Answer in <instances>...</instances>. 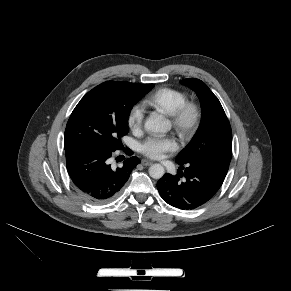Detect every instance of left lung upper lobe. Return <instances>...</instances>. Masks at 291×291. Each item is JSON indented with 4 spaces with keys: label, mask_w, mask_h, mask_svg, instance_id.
<instances>
[{
    "label": "left lung upper lobe",
    "mask_w": 291,
    "mask_h": 291,
    "mask_svg": "<svg viewBox=\"0 0 291 291\" xmlns=\"http://www.w3.org/2000/svg\"><path fill=\"white\" fill-rule=\"evenodd\" d=\"M182 82L197 93L202 112L195 135L175 161L179 165L207 161L229 167L232 156V131L220 101L201 80L191 78Z\"/></svg>",
    "instance_id": "1"
}]
</instances>
